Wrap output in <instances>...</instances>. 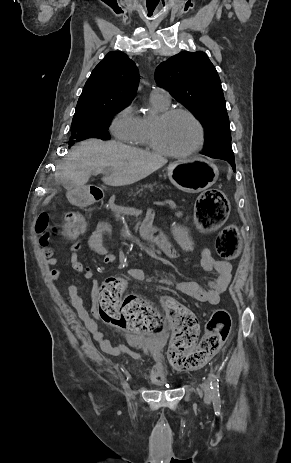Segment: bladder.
Here are the masks:
<instances>
[{
  "label": "bladder",
  "instance_id": "bladder-1",
  "mask_svg": "<svg viewBox=\"0 0 291 463\" xmlns=\"http://www.w3.org/2000/svg\"><path fill=\"white\" fill-rule=\"evenodd\" d=\"M155 360H156L157 364H156V369H155L154 375L152 376V381L157 386H166L167 379H166V375H165V371H164L161 359L158 356H155ZM156 376L158 378H156Z\"/></svg>",
  "mask_w": 291,
  "mask_h": 463
}]
</instances>
